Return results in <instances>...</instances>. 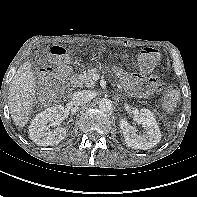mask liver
<instances>
[{
    "instance_id": "6515ba94",
    "label": "liver",
    "mask_w": 197,
    "mask_h": 197,
    "mask_svg": "<svg viewBox=\"0 0 197 197\" xmlns=\"http://www.w3.org/2000/svg\"><path fill=\"white\" fill-rule=\"evenodd\" d=\"M35 95L36 77L31 62L26 61L18 68L9 86V110L16 126L27 124Z\"/></svg>"
}]
</instances>
